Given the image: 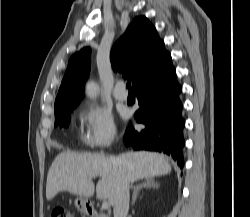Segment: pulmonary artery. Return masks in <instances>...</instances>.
<instances>
[{"mask_svg": "<svg viewBox=\"0 0 250 217\" xmlns=\"http://www.w3.org/2000/svg\"><path fill=\"white\" fill-rule=\"evenodd\" d=\"M113 97L118 101H126L128 94L125 90V85L123 82H118L113 89Z\"/></svg>", "mask_w": 250, "mask_h": 217, "instance_id": "pulmonary-artery-1", "label": "pulmonary artery"}]
</instances>
